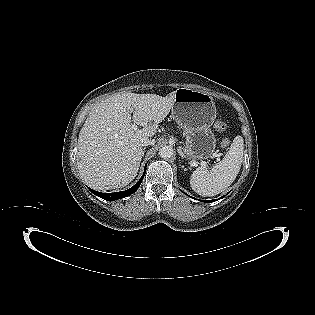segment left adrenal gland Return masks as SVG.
Masks as SVG:
<instances>
[{
	"instance_id": "obj_1",
	"label": "left adrenal gland",
	"mask_w": 315,
	"mask_h": 315,
	"mask_svg": "<svg viewBox=\"0 0 315 315\" xmlns=\"http://www.w3.org/2000/svg\"><path fill=\"white\" fill-rule=\"evenodd\" d=\"M180 166H181V165H180ZM181 168H183V169H184V166L182 165V166H181ZM184 170H185V169H184Z\"/></svg>"
}]
</instances>
